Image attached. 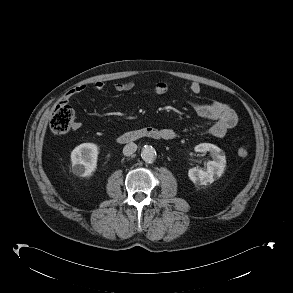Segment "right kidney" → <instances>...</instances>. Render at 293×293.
<instances>
[{"label": "right kidney", "instance_id": "1", "mask_svg": "<svg viewBox=\"0 0 293 293\" xmlns=\"http://www.w3.org/2000/svg\"><path fill=\"white\" fill-rule=\"evenodd\" d=\"M98 146L82 143L71 152L72 172L80 177H90L97 167Z\"/></svg>", "mask_w": 293, "mask_h": 293}]
</instances>
